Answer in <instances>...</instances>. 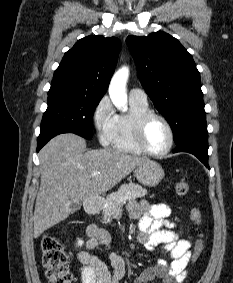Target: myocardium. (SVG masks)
I'll use <instances>...</instances> for the list:
<instances>
[{"label": "myocardium", "mask_w": 233, "mask_h": 283, "mask_svg": "<svg viewBox=\"0 0 233 283\" xmlns=\"http://www.w3.org/2000/svg\"><path fill=\"white\" fill-rule=\"evenodd\" d=\"M158 119L166 126L169 133V144L160 152H154L150 150L145 143V131L148 124L153 120ZM133 138L136 146L145 154L150 156H163L169 153L174 145V132L169 121L161 114L149 111L139 115L133 124Z\"/></svg>", "instance_id": "f54148a6"}]
</instances>
